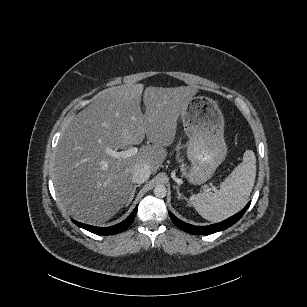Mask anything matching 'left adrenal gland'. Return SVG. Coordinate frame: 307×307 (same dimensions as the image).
<instances>
[{
    "label": "left adrenal gland",
    "mask_w": 307,
    "mask_h": 307,
    "mask_svg": "<svg viewBox=\"0 0 307 307\" xmlns=\"http://www.w3.org/2000/svg\"><path fill=\"white\" fill-rule=\"evenodd\" d=\"M176 193H177V197L182 196L187 199V197L179 191V187L177 185H176Z\"/></svg>",
    "instance_id": "a2214340"
}]
</instances>
